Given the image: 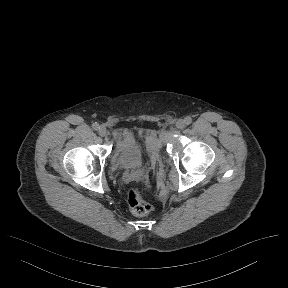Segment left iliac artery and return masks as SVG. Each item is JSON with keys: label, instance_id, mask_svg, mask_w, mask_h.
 <instances>
[{"label": "left iliac artery", "instance_id": "obj_1", "mask_svg": "<svg viewBox=\"0 0 288 288\" xmlns=\"http://www.w3.org/2000/svg\"><path fill=\"white\" fill-rule=\"evenodd\" d=\"M184 122L186 125H189L192 123V118L190 116H187L184 118Z\"/></svg>", "mask_w": 288, "mask_h": 288}]
</instances>
